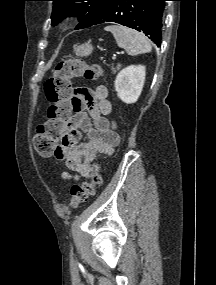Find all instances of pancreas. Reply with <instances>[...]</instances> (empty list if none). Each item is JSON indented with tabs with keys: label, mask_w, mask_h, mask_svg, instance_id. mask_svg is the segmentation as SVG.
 I'll list each match as a JSON object with an SVG mask.
<instances>
[{
	"label": "pancreas",
	"mask_w": 216,
	"mask_h": 285,
	"mask_svg": "<svg viewBox=\"0 0 216 285\" xmlns=\"http://www.w3.org/2000/svg\"><path fill=\"white\" fill-rule=\"evenodd\" d=\"M120 68V64L117 65L116 68H114L113 66L111 67L112 73H115L116 70H118Z\"/></svg>",
	"instance_id": "pancreas-1"
}]
</instances>
